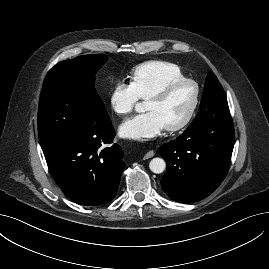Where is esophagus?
<instances>
[{"label": "esophagus", "instance_id": "34e87169", "mask_svg": "<svg viewBox=\"0 0 269 269\" xmlns=\"http://www.w3.org/2000/svg\"><path fill=\"white\" fill-rule=\"evenodd\" d=\"M154 155H155L154 151L150 150L144 155V159H149V158L153 157Z\"/></svg>", "mask_w": 269, "mask_h": 269}]
</instances>
